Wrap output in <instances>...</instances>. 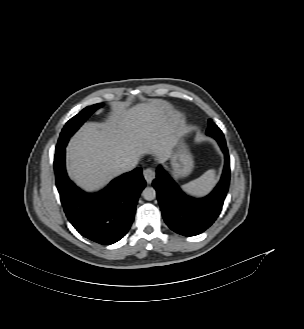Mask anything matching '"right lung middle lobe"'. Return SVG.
<instances>
[{"label": "right lung middle lobe", "instance_id": "obj_1", "mask_svg": "<svg viewBox=\"0 0 304 329\" xmlns=\"http://www.w3.org/2000/svg\"><path fill=\"white\" fill-rule=\"evenodd\" d=\"M102 105V103H99L92 106H88L82 111H80L76 116L71 118L62 129L56 146V151L66 147L69 138L79 129V127L89 118V116L94 111L102 107Z\"/></svg>", "mask_w": 304, "mask_h": 329}]
</instances>
